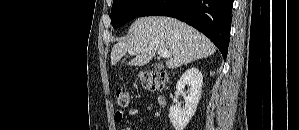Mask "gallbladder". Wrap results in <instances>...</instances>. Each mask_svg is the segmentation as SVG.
Segmentation results:
<instances>
[{"label":"gallbladder","mask_w":299,"mask_h":130,"mask_svg":"<svg viewBox=\"0 0 299 130\" xmlns=\"http://www.w3.org/2000/svg\"><path fill=\"white\" fill-rule=\"evenodd\" d=\"M154 68H155V69H159V68H161V65H160V64H155V65H154Z\"/></svg>","instance_id":"gallbladder-1"}]
</instances>
